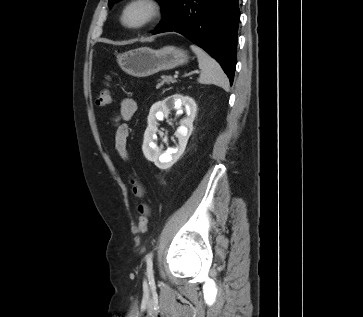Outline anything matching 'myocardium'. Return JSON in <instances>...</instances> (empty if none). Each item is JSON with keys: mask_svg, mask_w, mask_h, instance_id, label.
<instances>
[{"mask_svg": "<svg viewBox=\"0 0 363 317\" xmlns=\"http://www.w3.org/2000/svg\"><path fill=\"white\" fill-rule=\"evenodd\" d=\"M135 7H141L144 15L139 21L129 23L127 21L128 13ZM162 14L163 6L159 0H128L121 10L120 23L128 30H140L155 23Z\"/></svg>", "mask_w": 363, "mask_h": 317, "instance_id": "myocardium-1", "label": "myocardium"}]
</instances>
